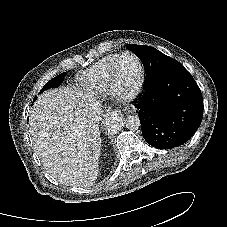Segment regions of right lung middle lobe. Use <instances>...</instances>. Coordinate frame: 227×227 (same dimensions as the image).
<instances>
[{
	"label": "right lung middle lobe",
	"mask_w": 227,
	"mask_h": 227,
	"mask_svg": "<svg viewBox=\"0 0 227 227\" xmlns=\"http://www.w3.org/2000/svg\"><path fill=\"white\" fill-rule=\"evenodd\" d=\"M64 75H65V73H61V74L57 75L56 77H54L53 79H51L50 81H48L40 92H42L46 89H49V88L59 87V85L62 82V79L64 78Z\"/></svg>",
	"instance_id": "dd1d6c3e"
}]
</instances>
